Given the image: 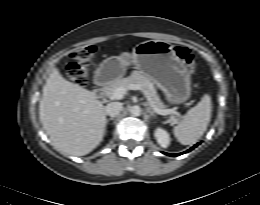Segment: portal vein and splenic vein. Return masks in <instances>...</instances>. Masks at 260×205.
<instances>
[{
	"label": "portal vein and splenic vein",
	"instance_id": "18ae733b",
	"mask_svg": "<svg viewBox=\"0 0 260 205\" xmlns=\"http://www.w3.org/2000/svg\"><path fill=\"white\" fill-rule=\"evenodd\" d=\"M127 90H140L144 96L146 97L148 103L150 104V106L152 107V109L154 110L155 113L159 114V115H168V114H176L178 115V112L174 111L173 109H169V110H162L157 108L154 103L152 102L151 98L149 97L148 93L146 92V90L139 84H130L127 88H117L115 90V92L112 95L113 100H120L123 98V96L126 94Z\"/></svg>",
	"mask_w": 260,
	"mask_h": 205
}]
</instances>
